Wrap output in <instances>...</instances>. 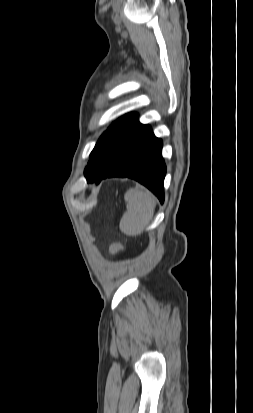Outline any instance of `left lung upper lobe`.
Here are the masks:
<instances>
[{
  "mask_svg": "<svg viewBox=\"0 0 253 413\" xmlns=\"http://www.w3.org/2000/svg\"><path fill=\"white\" fill-rule=\"evenodd\" d=\"M137 118V114L131 113L123 116L116 122H114L107 131H105L98 142L96 143L93 151L90 154V160L85 169V176L95 173L111 156L115 150L121 135V126L131 120Z\"/></svg>",
  "mask_w": 253,
  "mask_h": 413,
  "instance_id": "1",
  "label": "left lung upper lobe"
}]
</instances>
